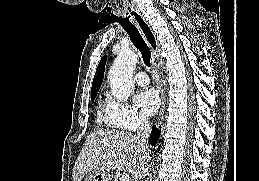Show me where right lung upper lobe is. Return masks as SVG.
<instances>
[{
	"instance_id": "cb5924a9",
	"label": "right lung upper lobe",
	"mask_w": 259,
	"mask_h": 181,
	"mask_svg": "<svg viewBox=\"0 0 259 181\" xmlns=\"http://www.w3.org/2000/svg\"><path fill=\"white\" fill-rule=\"evenodd\" d=\"M105 62H106V55H104L97 67L94 79H93V83H92V89H91V97H96L97 92L100 89V86L102 84L103 81V77H104V71H105Z\"/></svg>"
}]
</instances>
